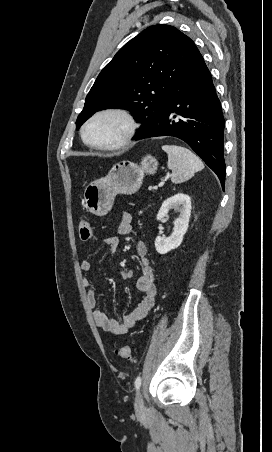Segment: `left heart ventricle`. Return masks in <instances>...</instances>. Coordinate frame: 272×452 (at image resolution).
<instances>
[{"label":"left heart ventricle","mask_w":272,"mask_h":452,"mask_svg":"<svg viewBox=\"0 0 272 452\" xmlns=\"http://www.w3.org/2000/svg\"><path fill=\"white\" fill-rule=\"evenodd\" d=\"M124 127V122L118 117H101L88 127L86 138L93 143H113L121 137Z\"/></svg>","instance_id":"b2bd125f"}]
</instances>
